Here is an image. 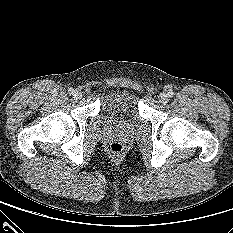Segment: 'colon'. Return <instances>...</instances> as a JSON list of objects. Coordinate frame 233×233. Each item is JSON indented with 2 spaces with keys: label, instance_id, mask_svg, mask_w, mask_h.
I'll use <instances>...</instances> for the list:
<instances>
[{
  "label": "colon",
  "instance_id": "obj_1",
  "mask_svg": "<svg viewBox=\"0 0 233 233\" xmlns=\"http://www.w3.org/2000/svg\"><path fill=\"white\" fill-rule=\"evenodd\" d=\"M109 151L113 157H120L123 153V145L118 142L111 143Z\"/></svg>",
  "mask_w": 233,
  "mask_h": 233
}]
</instances>
